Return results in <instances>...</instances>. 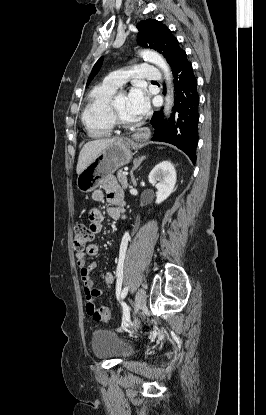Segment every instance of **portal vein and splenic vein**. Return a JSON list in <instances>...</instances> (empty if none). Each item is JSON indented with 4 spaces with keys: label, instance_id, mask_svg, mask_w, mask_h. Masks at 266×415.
<instances>
[{
    "label": "portal vein and splenic vein",
    "instance_id": "1",
    "mask_svg": "<svg viewBox=\"0 0 266 415\" xmlns=\"http://www.w3.org/2000/svg\"><path fill=\"white\" fill-rule=\"evenodd\" d=\"M123 174L128 175V172H127V171H125V172H123Z\"/></svg>",
    "mask_w": 266,
    "mask_h": 415
}]
</instances>
